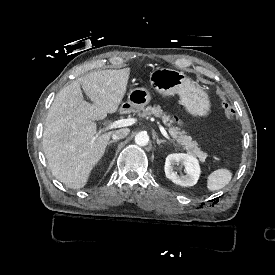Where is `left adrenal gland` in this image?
<instances>
[{"label":"left adrenal gland","instance_id":"a2214340","mask_svg":"<svg viewBox=\"0 0 275 275\" xmlns=\"http://www.w3.org/2000/svg\"><path fill=\"white\" fill-rule=\"evenodd\" d=\"M166 141L165 140H160L158 137H157V144L160 145V144H164Z\"/></svg>","mask_w":275,"mask_h":275}]
</instances>
